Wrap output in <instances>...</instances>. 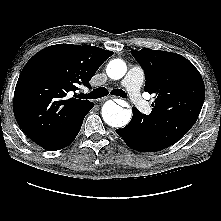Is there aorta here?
<instances>
[{"instance_id":"obj_1","label":"aorta","mask_w":221,"mask_h":221,"mask_svg":"<svg viewBox=\"0 0 221 221\" xmlns=\"http://www.w3.org/2000/svg\"><path fill=\"white\" fill-rule=\"evenodd\" d=\"M127 72L126 63L121 59L111 60L106 68V73L113 80L121 79ZM132 116V111L124 109L112 100L107 101L102 107L103 120L112 127L126 126Z\"/></svg>"}]
</instances>
